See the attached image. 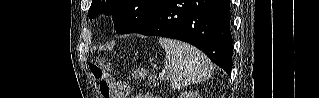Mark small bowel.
<instances>
[{
  "label": "small bowel",
  "mask_w": 319,
  "mask_h": 98,
  "mask_svg": "<svg viewBox=\"0 0 319 98\" xmlns=\"http://www.w3.org/2000/svg\"><path fill=\"white\" fill-rule=\"evenodd\" d=\"M113 88V98H128L131 94L132 88L124 81H115L110 79ZM135 98H152L150 95L142 93L136 94Z\"/></svg>",
  "instance_id": "obj_1"
}]
</instances>
